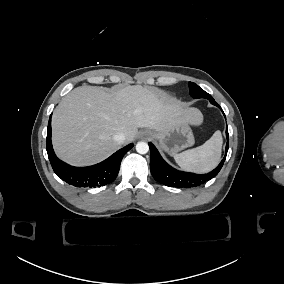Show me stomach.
<instances>
[{"instance_id":"stomach-1","label":"stomach","mask_w":284,"mask_h":284,"mask_svg":"<svg viewBox=\"0 0 284 284\" xmlns=\"http://www.w3.org/2000/svg\"><path fill=\"white\" fill-rule=\"evenodd\" d=\"M146 137L159 140L160 145L170 154H176L195 143L193 132L188 123H177L165 130H146Z\"/></svg>"}]
</instances>
